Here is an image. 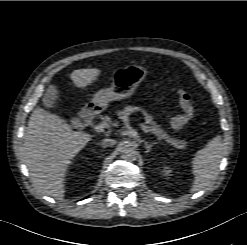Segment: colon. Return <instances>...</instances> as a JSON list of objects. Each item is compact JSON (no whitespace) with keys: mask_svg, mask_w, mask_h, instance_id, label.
Instances as JSON below:
<instances>
[{"mask_svg":"<svg viewBox=\"0 0 247 245\" xmlns=\"http://www.w3.org/2000/svg\"><path fill=\"white\" fill-rule=\"evenodd\" d=\"M178 100L182 113L171 118L170 125L174 129L185 127L195 112L194 99L189 92L184 89H179Z\"/></svg>","mask_w":247,"mask_h":245,"instance_id":"colon-1","label":"colon"}]
</instances>
